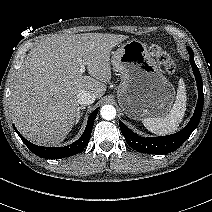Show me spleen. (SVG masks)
Returning <instances> with one entry per match:
<instances>
[{
    "mask_svg": "<svg viewBox=\"0 0 212 212\" xmlns=\"http://www.w3.org/2000/svg\"><path fill=\"white\" fill-rule=\"evenodd\" d=\"M186 88L183 79L179 80L175 102L164 117L143 118L142 123L150 132L166 135L175 132L182 122L186 111Z\"/></svg>",
    "mask_w": 212,
    "mask_h": 212,
    "instance_id": "obj_1",
    "label": "spleen"
}]
</instances>
